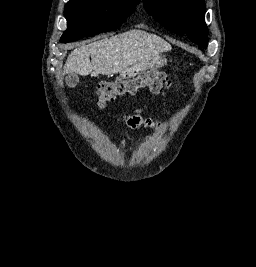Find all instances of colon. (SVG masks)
I'll return each instance as SVG.
<instances>
[{
    "label": "colon",
    "instance_id": "obj_1",
    "mask_svg": "<svg viewBox=\"0 0 256 267\" xmlns=\"http://www.w3.org/2000/svg\"><path fill=\"white\" fill-rule=\"evenodd\" d=\"M170 85L171 82L166 74L156 69L150 73L137 74L136 77H127V80L120 77L112 82L101 83L97 87L95 103L98 107H103L118 98L135 95L142 88L164 94Z\"/></svg>",
    "mask_w": 256,
    "mask_h": 267
}]
</instances>
